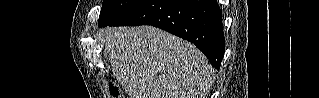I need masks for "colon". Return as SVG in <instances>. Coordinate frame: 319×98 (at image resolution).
Returning a JSON list of instances; mask_svg holds the SVG:
<instances>
[{"mask_svg": "<svg viewBox=\"0 0 319 98\" xmlns=\"http://www.w3.org/2000/svg\"><path fill=\"white\" fill-rule=\"evenodd\" d=\"M108 90L111 98H124V95L120 91L119 87L114 83H109Z\"/></svg>", "mask_w": 319, "mask_h": 98, "instance_id": "1", "label": "colon"}]
</instances>
